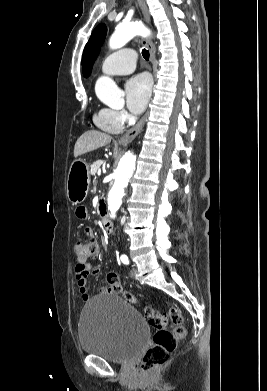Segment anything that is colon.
<instances>
[{"label": "colon", "mask_w": 267, "mask_h": 391, "mask_svg": "<svg viewBox=\"0 0 267 391\" xmlns=\"http://www.w3.org/2000/svg\"><path fill=\"white\" fill-rule=\"evenodd\" d=\"M73 252L76 266L85 268L91 265V261L97 256L98 246L94 239H79L73 245ZM106 278L110 293L121 295L128 302H137L136 296L122 287L115 271H110ZM145 314L154 334L153 342L144 354L140 367L144 374H150L168 361L179 341L185 337L186 329L182 324L181 312L176 307H169L161 312L148 306L145 308ZM169 322L173 324L171 330L168 329Z\"/></svg>", "instance_id": "1"}]
</instances>
